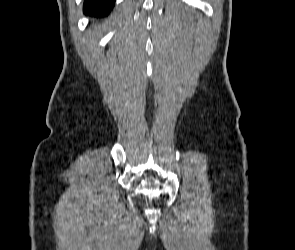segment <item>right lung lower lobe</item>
<instances>
[{
  "label": "right lung lower lobe",
  "instance_id": "obj_1",
  "mask_svg": "<svg viewBox=\"0 0 295 250\" xmlns=\"http://www.w3.org/2000/svg\"><path fill=\"white\" fill-rule=\"evenodd\" d=\"M115 0H85L83 11L85 14L106 16L114 6Z\"/></svg>",
  "mask_w": 295,
  "mask_h": 250
}]
</instances>
